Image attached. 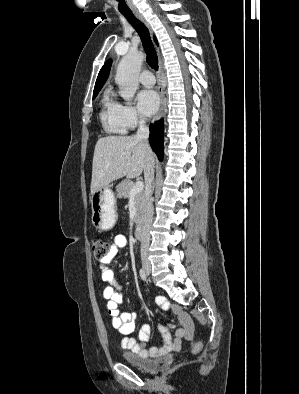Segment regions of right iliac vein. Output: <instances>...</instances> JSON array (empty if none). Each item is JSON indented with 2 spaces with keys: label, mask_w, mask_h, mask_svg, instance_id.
I'll return each mask as SVG.
<instances>
[{
  "label": "right iliac vein",
  "mask_w": 299,
  "mask_h": 394,
  "mask_svg": "<svg viewBox=\"0 0 299 394\" xmlns=\"http://www.w3.org/2000/svg\"><path fill=\"white\" fill-rule=\"evenodd\" d=\"M143 268H144V270H145L147 273H150V272H151V266H150L149 264H145V265L143 266Z\"/></svg>",
  "instance_id": "63e3f726"
}]
</instances>
